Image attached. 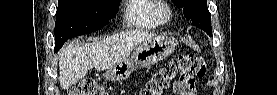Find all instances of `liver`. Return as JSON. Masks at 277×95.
<instances>
[{"mask_svg":"<svg viewBox=\"0 0 277 95\" xmlns=\"http://www.w3.org/2000/svg\"><path fill=\"white\" fill-rule=\"evenodd\" d=\"M154 34L130 30L109 36L103 40L81 44L73 41L67 44L59 55V82L62 89L84 78L93 67L97 71L112 68L125 59L133 49Z\"/></svg>","mask_w":277,"mask_h":95,"instance_id":"6515ba94","label":"liver"}]
</instances>
